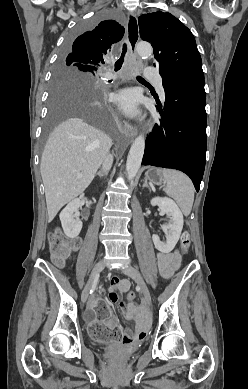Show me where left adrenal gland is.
Instances as JSON below:
<instances>
[{"label": "left adrenal gland", "instance_id": "1", "mask_svg": "<svg viewBox=\"0 0 248 389\" xmlns=\"http://www.w3.org/2000/svg\"><path fill=\"white\" fill-rule=\"evenodd\" d=\"M146 187L150 190V186L147 183V179L144 180L143 188Z\"/></svg>", "mask_w": 248, "mask_h": 389}]
</instances>
